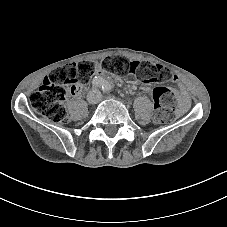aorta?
<instances>
[{"instance_id":"1","label":"aorta","mask_w":227,"mask_h":227,"mask_svg":"<svg viewBox=\"0 0 227 227\" xmlns=\"http://www.w3.org/2000/svg\"><path fill=\"white\" fill-rule=\"evenodd\" d=\"M101 84L103 85V86H105V87H110V82H108V81H106V80H104V79H101Z\"/></svg>"}]
</instances>
